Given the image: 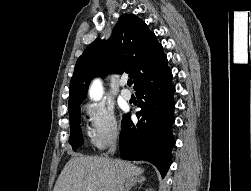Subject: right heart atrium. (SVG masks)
I'll list each match as a JSON object with an SVG mask.
<instances>
[{"mask_svg": "<svg viewBox=\"0 0 251 191\" xmlns=\"http://www.w3.org/2000/svg\"><path fill=\"white\" fill-rule=\"evenodd\" d=\"M88 123V137L95 150H104L119 136V125L114 111L105 103L92 101L83 108Z\"/></svg>", "mask_w": 251, "mask_h": 191, "instance_id": "d8ad5b80", "label": "right heart atrium"}]
</instances>
